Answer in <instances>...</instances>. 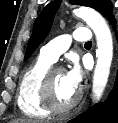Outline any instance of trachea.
I'll list each match as a JSON object with an SVG mask.
<instances>
[{
  "label": "trachea",
  "instance_id": "3493384b",
  "mask_svg": "<svg viewBox=\"0 0 118 123\" xmlns=\"http://www.w3.org/2000/svg\"><path fill=\"white\" fill-rule=\"evenodd\" d=\"M85 44L86 45H91L92 44V41L86 42Z\"/></svg>",
  "mask_w": 118,
  "mask_h": 123
}]
</instances>
